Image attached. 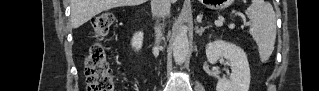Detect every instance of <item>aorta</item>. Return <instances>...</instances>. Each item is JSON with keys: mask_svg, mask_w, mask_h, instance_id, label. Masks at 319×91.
<instances>
[{"mask_svg": "<svg viewBox=\"0 0 319 91\" xmlns=\"http://www.w3.org/2000/svg\"><path fill=\"white\" fill-rule=\"evenodd\" d=\"M189 52V39L187 35V27L181 26L178 34L173 41V57L177 64H183Z\"/></svg>", "mask_w": 319, "mask_h": 91, "instance_id": "obj_1", "label": "aorta"}]
</instances>
